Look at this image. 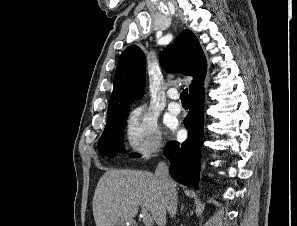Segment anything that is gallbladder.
Masks as SVG:
<instances>
[{
    "instance_id": "gallbladder-1",
    "label": "gallbladder",
    "mask_w": 297,
    "mask_h": 226,
    "mask_svg": "<svg viewBox=\"0 0 297 226\" xmlns=\"http://www.w3.org/2000/svg\"><path fill=\"white\" fill-rule=\"evenodd\" d=\"M128 221V219L120 218L113 224V226H126Z\"/></svg>"
}]
</instances>
